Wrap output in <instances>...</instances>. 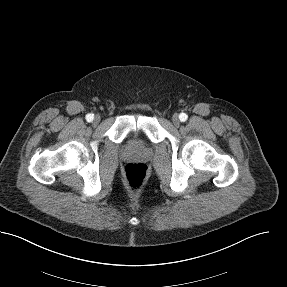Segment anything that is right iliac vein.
<instances>
[{
  "mask_svg": "<svg viewBox=\"0 0 287 287\" xmlns=\"http://www.w3.org/2000/svg\"><path fill=\"white\" fill-rule=\"evenodd\" d=\"M100 120H101L100 116L96 115L95 118H94L93 124L97 125L100 122Z\"/></svg>",
  "mask_w": 287,
  "mask_h": 287,
  "instance_id": "obj_1",
  "label": "right iliac vein"
}]
</instances>
